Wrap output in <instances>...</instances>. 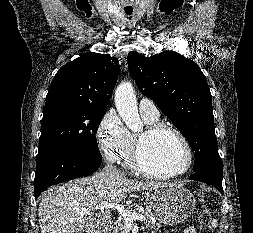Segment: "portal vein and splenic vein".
Segmentation results:
<instances>
[{
	"mask_svg": "<svg viewBox=\"0 0 253 233\" xmlns=\"http://www.w3.org/2000/svg\"><path fill=\"white\" fill-rule=\"evenodd\" d=\"M95 210H116L120 216L123 218L126 224H133L134 221H144L145 216L143 214L138 213H131L128 209H126L124 206L114 203H108L106 201L101 202L100 204L96 205L92 209H86V210H80L78 211L80 214H90L91 212Z\"/></svg>",
	"mask_w": 253,
	"mask_h": 233,
	"instance_id": "obj_1",
	"label": "portal vein and splenic vein"
}]
</instances>
